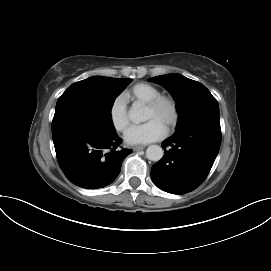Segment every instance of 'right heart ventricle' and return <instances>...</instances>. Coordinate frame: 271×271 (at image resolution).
<instances>
[{"label":"right heart ventricle","mask_w":271,"mask_h":271,"mask_svg":"<svg viewBox=\"0 0 271 271\" xmlns=\"http://www.w3.org/2000/svg\"><path fill=\"white\" fill-rule=\"evenodd\" d=\"M160 94L161 92L156 86L150 83L142 82L135 84L130 89L125 91L124 98L132 102L146 104L148 101Z\"/></svg>","instance_id":"e07e8e85"}]
</instances>
